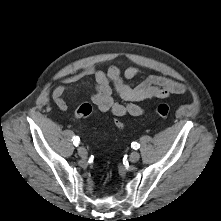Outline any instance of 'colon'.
Returning <instances> with one entry per match:
<instances>
[{
  "label": "colon",
  "instance_id": "colon-1",
  "mask_svg": "<svg viewBox=\"0 0 221 221\" xmlns=\"http://www.w3.org/2000/svg\"><path fill=\"white\" fill-rule=\"evenodd\" d=\"M93 111V107L89 103H84L78 106L74 113L73 117L75 119H84L88 117ZM156 114L162 118L167 119L170 116V107L167 104H159L155 109ZM112 126L115 129H120L124 127L123 121L120 118H115L112 121Z\"/></svg>",
  "mask_w": 221,
  "mask_h": 221
}]
</instances>
